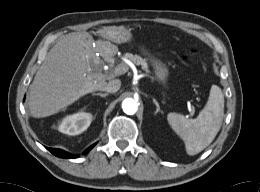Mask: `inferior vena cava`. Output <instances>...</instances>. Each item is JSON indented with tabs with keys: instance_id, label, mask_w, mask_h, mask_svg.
Masks as SVG:
<instances>
[{
	"instance_id": "inferior-vena-cava-1",
	"label": "inferior vena cava",
	"mask_w": 260,
	"mask_h": 192,
	"mask_svg": "<svg viewBox=\"0 0 260 192\" xmlns=\"http://www.w3.org/2000/svg\"><path fill=\"white\" fill-rule=\"evenodd\" d=\"M121 87V81L119 79H114L109 81L104 87L101 88L102 91L109 93L117 92Z\"/></svg>"
}]
</instances>
